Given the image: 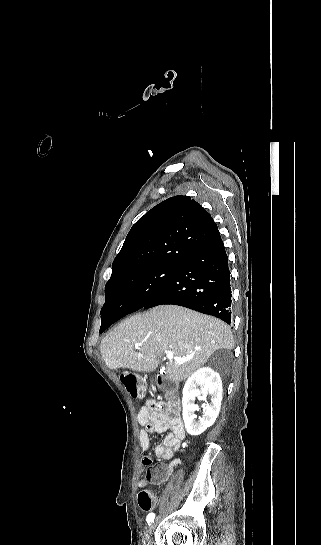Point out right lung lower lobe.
I'll return each instance as SVG.
<instances>
[{"label":"right lung lower lobe","mask_w":321,"mask_h":545,"mask_svg":"<svg viewBox=\"0 0 321 545\" xmlns=\"http://www.w3.org/2000/svg\"><path fill=\"white\" fill-rule=\"evenodd\" d=\"M231 287L228 257L220 233L198 248L173 278L142 308L161 304L184 306L231 323ZM124 304L109 302L101 309L107 324L130 314ZM135 312V311H134Z\"/></svg>","instance_id":"98d812e1"}]
</instances>
